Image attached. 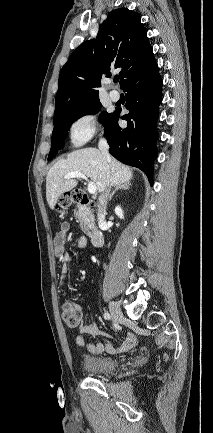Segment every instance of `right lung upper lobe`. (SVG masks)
Wrapping results in <instances>:
<instances>
[{"mask_svg":"<svg viewBox=\"0 0 213 433\" xmlns=\"http://www.w3.org/2000/svg\"><path fill=\"white\" fill-rule=\"evenodd\" d=\"M141 16L119 8L101 24L96 40L81 44L69 57L59 75L54 117L65 109L99 98L102 76L121 68V88L154 57Z\"/></svg>","mask_w":213,"mask_h":433,"instance_id":"cb5924a9","label":"right lung upper lobe"}]
</instances>
